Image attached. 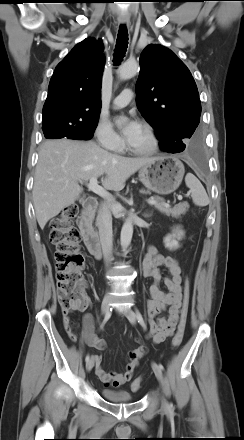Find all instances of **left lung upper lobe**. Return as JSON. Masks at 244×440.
<instances>
[{"label": "left lung upper lobe", "instance_id": "left-lung-upper-lobe-1", "mask_svg": "<svg viewBox=\"0 0 244 440\" xmlns=\"http://www.w3.org/2000/svg\"><path fill=\"white\" fill-rule=\"evenodd\" d=\"M135 90L138 109L153 127L161 150H184L201 114L198 89L184 63L164 46H147Z\"/></svg>", "mask_w": 244, "mask_h": 440}]
</instances>
